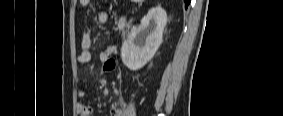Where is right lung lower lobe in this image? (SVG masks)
I'll return each instance as SVG.
<instances>
[{"label":"right lung lower lobe","instance_id":"98d812e1","mask_svg":"<svg viewBox=\"0 0 283 116\" xmlns=\"http://www.w3.org/2000/svg\"><path fill=\"white\" fill-rule=\"evenodd\" d=\"M184 2H185V8H187L190 3V0H184Z\"/></svg>","mask_w":283,"mask_h":116}]
</instances>
